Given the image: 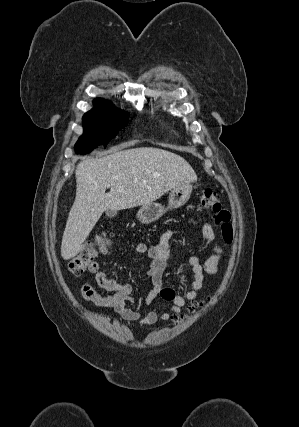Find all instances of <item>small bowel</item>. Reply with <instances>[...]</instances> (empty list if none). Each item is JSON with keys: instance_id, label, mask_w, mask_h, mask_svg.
<instances>
[{"instance_id": "small-bowel-1", "label": "small bowel", "mask_w": 299, "mask_h": 427, "mask_svg": "<svg viewBox=\"0 0 299 427\" xmlns=\"http://www.w3.org/2000/svg\"><path fill=\"white\" fill-rule=\"evenodd\" d=\"M191 223L197 224L195 219ZM202 232L207 240L213 242L215 234L209 224L202 225ZM173 235L172 230L164 231L158 241L153 245L138 243L135 251L138 254L145 255L148 259L146 273L152 282V289L146 297V305H151L158 297L167 302L168 311L156 312L148 309H135L130 307L133 301V286L126 282H120L109 278L104 271L100 269L98 262H93L89 270L94 274V282L103 290L112 292L109 295L98 293L90 281L83 283L81 294L87 301L96 306L111 308L123 319L135 321L140 325H152L158 320L168 321L181 312V309L190 302H194L204 286L205 275H215L218 273L219 264L223 251L221 247L214 243L213 254L201 261L197 256L188 258V266L193 273L191 287L183 294H177L171 287L164 286L163 274L166 261L170 256V240Z\"/></svg>"}]
</instances>
